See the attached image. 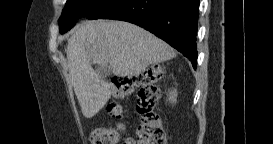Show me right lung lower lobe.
Returning <instances> with one entry per match:
<instances>
[{
	"instance_id": "98d812e1",
	"label": "right lung lower lobe",
	"mask_w": 273,
	"mask_h": 144,
	"mask_svg": "<svg viewBox=\"0 0 273 144\" xmlns=\"http://www.w3.org/2000/svg\"><path fill=\"white\" fill-rule=\"evenodd\" d=\"M199 0H109L89 19H114L137 24L163 39L196 69Z\"/></svg>"
}]
</instances>
